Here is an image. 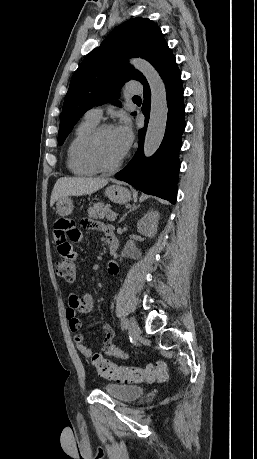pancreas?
<instances>
[{"label": "pancreas", "mask_w": 257, "mask_h": 459, "mask_svg": "<svg viewBox=\"0 0 257 459\" xmlns=\"http://www.w3.org/2000/svg\"><path fill=\"white\" fill-rule=\"evenodd\" d=\"M108 212H111V206L109 204H104L102 202L95 203L88 209L89 217H92L94 219L101 218L105 216Z\"/></svg>", "instance_id": "pancreas-1"}]
</instances>
